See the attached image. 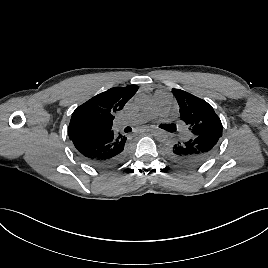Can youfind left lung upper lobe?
Listing matches in <instances>:
<instances>
[{"mask_svg":"<svg viewBox=\"0 0 268 268\" xmlns=\"http://www.w3.org/2000/svg\"><path fill=\"white\" fill-rule=\"evenodd\" d=\"M179 107L180 118L189 127L192 136H222V123L211 105L180 89H173Z\"/></svg>","mask_w":268,"mask_h":268,"instance_id":"5c2ea615","label":"left lung upper lobe"}]
</instances>
